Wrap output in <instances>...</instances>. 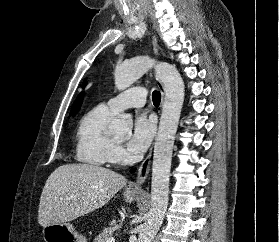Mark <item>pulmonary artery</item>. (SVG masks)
Returning <instances> with one entry per match:
<instances>
[{
    "label": "pulmonary artery",
    "mask_w": 279,
    "mask_h": 242,
    "mask_svg": "<svg viewBox=\"0 0 279 242\" xmlns=\"http://www.w3.org/2000/svg\"><path fill=\"white\" fill-rule=\"evenodd\" d=\"M146 97L145 87L131 88L111 98L107 102V107L115 113L129 107H142L146 102Z\"/></svg>",
    "instance_id": "1"
}]
</instances>
